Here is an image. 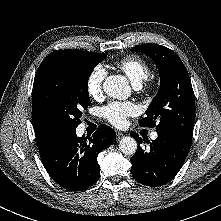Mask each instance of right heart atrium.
Wrapping results in <instances>:
<instances>
[{"mask_svg":"<svg viewBox=\"0 0 221 221\" xmlns=\"http://www.w3.org/2000/svg\"><path fill=\"white\" fill-rule=\"evenodd\" d=\"M106 74V69L102 65H97L90 71L86 80V91L90 98L98 99L102 96Z\"/></svg>","mask_w":221,"mask_h":221,"instance_id":"d8ad5b80","label":"right heart atrium"}]
</instances>
